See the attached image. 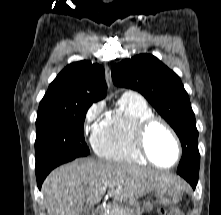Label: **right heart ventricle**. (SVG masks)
Segmentation results:
<instances>
[{"mask_svg": "<svg viewBox=\"0 0 221 215\" xmlns=\"http://www.w3.org/2000/svg\"><path fill=\"white\" fill-rule=\"evenodd\" d=\"M153 115L143 97L125 93L95 129L92 137L94 151L106 160L147 164L135 146L134 133L141 121Z\"/></svg>", "mask_w": 221, "mask_h": 215, "instance_id": "obj_1", "label": "right heart ventricle"}]
</instances>
